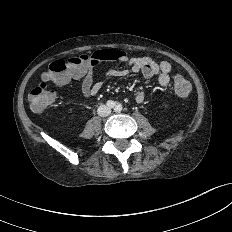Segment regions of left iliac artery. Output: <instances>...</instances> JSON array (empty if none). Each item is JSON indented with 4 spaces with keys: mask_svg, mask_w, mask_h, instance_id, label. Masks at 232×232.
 I'll list each match as a JSON object with an SVG mask.
<instances>
[{
    "mask_svg": "<svg viewBox=\"0 0 232 232\" xmlns=\"http://www.w3.org/2000/svg\"><path fill=\"white\" fill-rule=\"evenodd\" d=\"M121 109H122L121 105H116L115 106V111H121Z\"/></svg>",
    "mask_w": 232,
    "mask_h": 232,
    "instance_id": "1",
    "label": "left iliac artery"
}]
</instances>
